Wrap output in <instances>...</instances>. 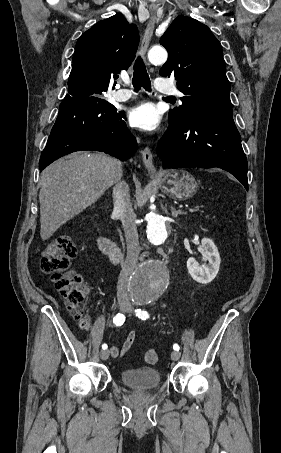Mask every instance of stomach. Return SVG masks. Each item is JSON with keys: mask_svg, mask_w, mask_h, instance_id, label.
Wrapping results in <instances>:
<instances>
[{"mask_svg": "<svg viewBox=\"0 0 281 453\" xmlns=\"http://www.w3.org/2000/svg\"><path fill=\"white\" fill-rule=\"evenodd\" d=\"M160 182L163 192L177 200L190 198L198 188L194 176L186 170H163Z\"/></svg>", "mask_w": 281, "mask_h": 453, "instance_id": "1", "label": "stomach"}]
</instances>
